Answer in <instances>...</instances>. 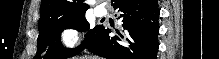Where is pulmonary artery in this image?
<instances>
[{"mask_svg":"<svg viewBox=\"0 0 219 59\" xmlns=\"http://www.w3.org/2000/svg\"><path fill=\"white\" fill-rule=\"evenodd\" d=\"M94 12H95V14H96L97 16L102 17V16L106 15L107 10H106L105 7L96 6V7L94 8Z\"/></svg>","mask_w":219,"mask_h":59,"instance_id":"obj_1","label":"pulmonary artery"}]
</instances>
